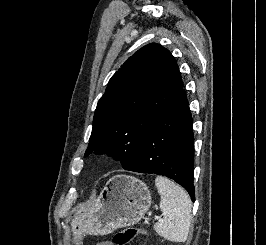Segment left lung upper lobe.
Listing matches in <instances>:
<instances>
[{"mask_svg": "<svg viewBox=\"0 0 266 245\" xmlns=\"http://www.w3.org/2000/svg\"><path fill=\"white\" fill-rule=\"evenodd\" d=\"M171 53L151 43L122 65L99 100L85 157L107 153L127 168L141 138L182 88Z\"/></svg>", "mask_w": 266, "mask_h": 245, "instance_id": "left-lung-upper-lobe-1", "label": "left lung upper lobe"}]
</instances>
